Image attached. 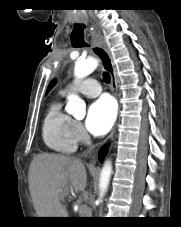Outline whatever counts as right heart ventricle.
I'll list each match as a JSON object with an SVG mask.
<instances>
[{"instance_id":"e07e8e85","label":"right heart ventricle","mask_w":181,"mask_h":227,"mask_svg":"<svg viewBox=\"0 0 181 227\" xmlns=\"http://www.w3.org/2000/svg\"><path fill=\"white\" fill-rule=\"evenodd\" d=\"M73 119L62 111L59 99L48 107L42 126L44 143L48 148L60 153H72L77 142L72 132Z\"/></svg>"}]
</instances>
